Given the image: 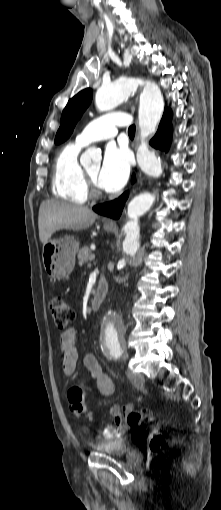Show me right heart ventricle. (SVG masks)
Listing matches in <instances>:
<instances>
[{
    "instance_id": "right-heart-ventricle-1",
    "label": "right heart ventricle",
    "mask_w": 221,
    "mask_h": 510,
    "mask_svg": "<svg viewBox=\"0 0 221 510\" xmlns=\"http://www.w3.org/2000/svg\"><path fill=\"white\" fill-rule=\"evenodd\" d=\"M82 147L77 142L65 145L53 167L52 193L75 204H84L88 200L84 169L78 160Z\"/></svg>"
}]
</instances>
